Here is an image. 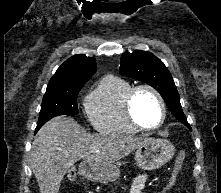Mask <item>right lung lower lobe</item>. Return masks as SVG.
<instances>
[{
    "instance_id": "1",
    "label": "right lung lower lobe",
    "mask_w": 221,
    "mask_h": 193,
    "mask_svg": "<svg viewBox=\"0 0 221 193\" xmlns=\"http://www.w3.org/2000/svg\"><path fill=\"white\" fill-rule=\"evenodd\" d=\"M41 128V126H37L36 127V130H35V133Z\"/></svg>"
}]
</instances>
